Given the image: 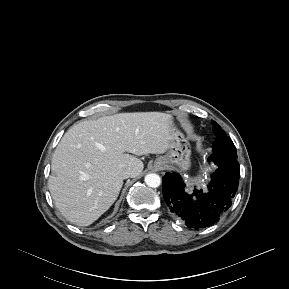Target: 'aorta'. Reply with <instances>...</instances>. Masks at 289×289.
<instances>
[{
    "label": "aorta",
    "mask_w": 289,
    "mask_h": 289,
    "mask_svg": "<svg viewBox=\"0 0 289 289\" xmlns=\"http://www.w3.org/2000/svg\"><path fill=\"white\" fill-rule=\"evenodd\" d=\"M145 183L152 188H157L161 184V178L158 174L151 173L145 176Z\"/></svg>",
    "instance_id": "1"
}]
</instances>
